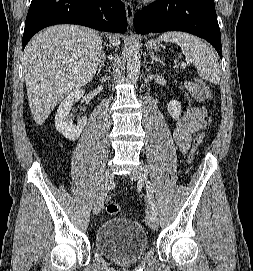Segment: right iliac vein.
<instances>
[{
  "label": "right iliac vein",
  "mask_w": 253,
  "mask_h": 271,
  "mask_svg": "<svg viewBox=\"0 0 253 271\" xmlns=\"http://www.w3.org/2000/svg\"><path fill=\"white\" fill-rule=\"evenodd\" d=\"M113 179H114L113 173L110 170L106 171L102 179L101 185L99 187L96 201L94 203V208H93L94 214H98L102 210L107 192L113 182Z\"/></svg>",
  "instance_id": "right-iliac-vein-1"
}]
</instances>
